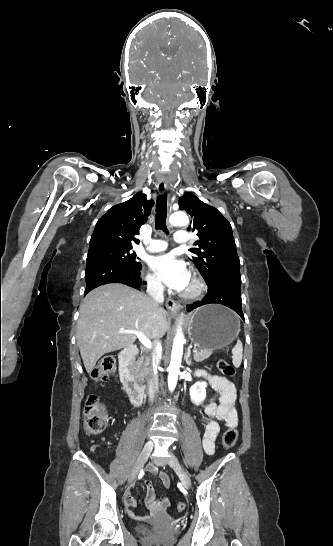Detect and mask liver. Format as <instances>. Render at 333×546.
<instances>
[{"instance_id": "1", "label": "liver", "mask_w": 333, "mask_h": 546, "mask_svg": "<svg viewBox=\"0 0 333 546\" xmlns=\"http://www.w3.org/2000/svg\"><path fill=\"white\" fill-rule=\"evenodd\" d=\"M77 343L88 373L106 353L133 344L134 330L148 339H160L167 330L166 311L145 294L123 285L111 283L92 290L80 305Z\"/></svg>"}]
</instances>
